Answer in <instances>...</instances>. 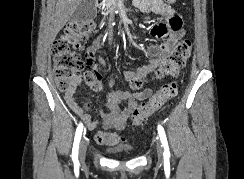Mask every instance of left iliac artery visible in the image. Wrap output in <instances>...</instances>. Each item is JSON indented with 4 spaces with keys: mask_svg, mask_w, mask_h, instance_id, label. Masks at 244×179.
I'll return each instance as SVG.
<instances>
[{
    "mask_svg": "<svg viewBox=\"0 0 244 179\" xmlns=\"http://www.w3.org/2000/svg\"><path fill=\"white\" fill-rule=\"evenodd\" d=\"M158 134L160 136V140L164 147V156H170L169 146L166 138L165 131L161 125H158Z\"/></svg>",
    "mask_w": 244,
    "mask_h": 179,
    "instance_id": "44dca946",
    "label": "left iliac artery"
}]
</instances>
